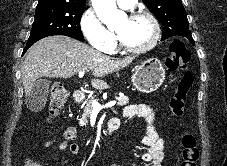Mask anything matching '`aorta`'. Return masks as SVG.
I'll use <instances>...</instances> for the list:
<instances>
[{
  "mask_svg": "<svg viewBox=\"0 0 227 166\" xmlns=\"http://www.w3.org/2000/svg\"><path fill=\"white\" fill-rule=\"evenodd\" d=\"M92 5L100 21L108 27L127 18L123 11L117 9L116 0H92Z\"/></svg>",
  "mask_w": 227,
  "mask_h": 166,
  "instance_id": "762f6f07",
  "label": "aorta"
}]
</instances>
